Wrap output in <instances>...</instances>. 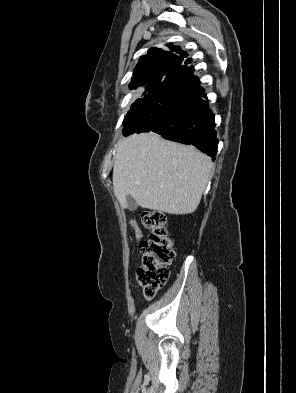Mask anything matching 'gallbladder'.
<instances>
[{
	"label": "gallbladder",
	"mask_w": 296,
	"mask_h": 393,
	"mask_svg": "<svg viewBox=\"0 0 296 393\" xmlns=\"http://www.w3.org/2000/svg\"><path fill=\"white\" fill-rule=\"evenodd\" d=\"M126 200H127L128 209H129L130 211H134V210L137 209L138 204L136 203V201L133 199L132 196L127 195V196H126Z\"/></svg>",
	"instance_id": "bac80fb5"
}]
</instances>
